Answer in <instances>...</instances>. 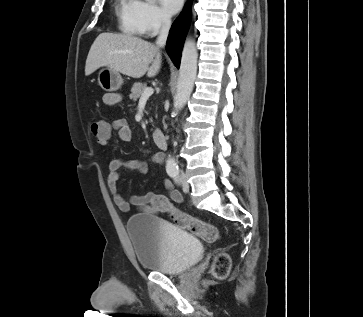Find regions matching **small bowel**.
I'll return each mask as SVG.
<instances>
[{
	"mask_svg": "<svg viewBox=\"0 0 363 317\" xmlns=\"http://www.w3.org/2000/svg\"><path fill=\"white\" fill-rule=\"evenodd\" d=\"M105 105L114 107L118 105L122 96L116 92H109L103 95L102 98ZM117 133L118 139L121 142H129L133 138L132 130L125 119L114 118L110 123L105 122V131L103 134L96 136L99 144L107 145L110 142L113 132ZM151 161L160 166L164 161V157L160 153H156L151 157ZM109 174L107 176V184L112 194L115 205L124 212L130 209V206H135L138 210L158 215L168 212V206H172V202L179 203L183 200L182 194L175 190L170 180L165 179L163 185L168 191L169 198L156 193H146L143 195H133L130 200H126L117 189V181L121 170H139L142 173L147 172V164L143 160H123L120 158L112 159L109 164Z\"/></svg>",
	"mask_w": 363,
	"mask_h": 317,
	"instance_id": "1",
	"label": "small bowel"
}]
</instances>
